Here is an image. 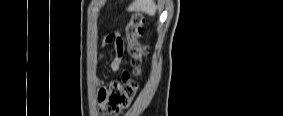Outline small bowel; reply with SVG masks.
I'll return each instance as SVG.
<instances>
[{
    "instance_id": "c3829d8e",
    "label": "small bowel",
    "mask_w": 283,
    "mask_h": 116,
    "mask_svg": "<svg viewBox=\"0 0 283 116\" xmlns=\"http://www.w3.org/2000/svg\"><path fill=\"white\" fill-rule=\"evenodd\" d=\"M114 38L111 35H107L103 38L102 40V48L108 47L112 42ZM115 45H116V53L113 59L110 62V68L113 72H117L120 69L121 63L123 61L124 57V50L121 41L118 39V37L115 40ZM104 53H99L98 58H97V63L100 64L104 60Z\"/></svg>"
}]
</instances>
